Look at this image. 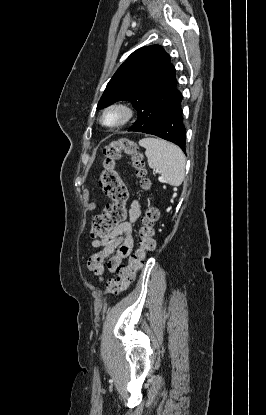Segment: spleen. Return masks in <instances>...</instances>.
Segmentation results:
<instances>
[{
	"label": "spleen",
	"instance_id": "obj_1",
	"mask_svg": "<svg viewBox=\"0 0 266 415\" xmlns=\"http://www.w3.org/2000/svg\"><path fill=\"white\" fill-rule=\"evenodd\" d=\"M139 145L146 149L150 168L160 171L159 180L171 186H180L185 177L186 159L181 149L173 143L157 138H144Z\"/></svg>",
	"mask_w": 266,
	"mask_h": 415
}]
</instances>
